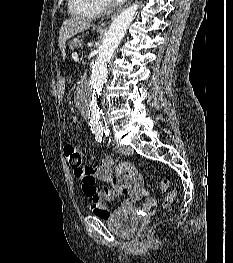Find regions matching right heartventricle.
<instances>
[{
	"instance_id": "1",
	"label": "right heart ventricle",
	"mask_w": 233,
	"mask_h": 263,
	"mask_svg": "<svg viewBox=\"0 0 233 263\" xmlns=\"http://www.w3.org/2000/svg\"><path fill=\"white\" fill-rule=\"evenodd\" d=\"M69 8L73 15L93 19L101 13L98 0H69Z\"/></svg>"
}]
</instances>
